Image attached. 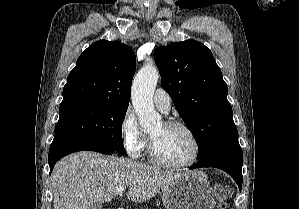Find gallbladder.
I'll return each instance as SVG.
<instances>
[{
  "label": "gallbladder",
  "mask_w": 299,
  "mask_h": 209,
  "mask_svg": "<svg viewBox=\"0 0 299 209\" xmlns=\"http://www.w3.org/2000/svg\"><path fill=\"white\" fill-rule=\"evenodd\" d=\"M89 209H101L100 204L99 203L92 204L90 205Z\"/></svg>",
  "instance_id": "1"
}]
</instances>
